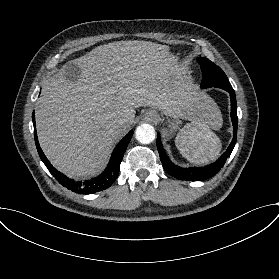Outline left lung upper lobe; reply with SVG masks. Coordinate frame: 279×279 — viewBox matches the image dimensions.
I'll use <instances>...</instances> for the list:
<instances>
[{
  "mask_svg": "<svg viewBox=\"0 0 279 279\" xmlns=\"http://www.w3.org/2000/svg\"><path fill=\"white\" fill-rule=\"evenodd\" d=\"M202 70L201 88L218 87L222 89L232 88L223 70L205 57L197 59Z\"/></svg>",
  "mask_w": 279,
  "mask_h": 279,
  "instance_id": "1",
  "label": "left lung upper lobe"
}]
</instances>
